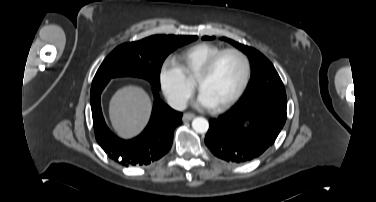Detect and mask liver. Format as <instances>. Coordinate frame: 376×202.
I'll use <instances>...</instances> for the list:
<instances>
[{"mask_svg":"<svg viewBox=\"0 0 376 202\" xmlns=\"http://www.w3.org/2000/svg\"><path fill=\"white\" fill-rule=\"evenodd\" d=\"M151 99L140 87L126 86L116 91L109 105L113 129L124 139L138 136L148 123Z\"/></svg>","mask_w":376,"mask_h":202,"instance_id":"6515ba94","label":"liver"}]
</instances>
